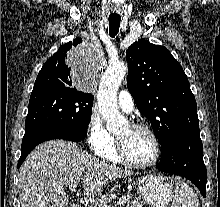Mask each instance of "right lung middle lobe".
<instances>
[{"label": "right lung middle lobe", "mask_w": 220, "mask_h": 207, "mask_svg": "<svg viewBox=\"0 0 220 207\" xmlns=\"http://www.w3.org/2000/svg\"><path fill=\"white\" fill-rule=\"evenodd\" d=\"M94 96L56 87L33 88L25 130L36 125L88 129Z\"/></svg>", "instance_id": "obj_1"}]
</instances>
